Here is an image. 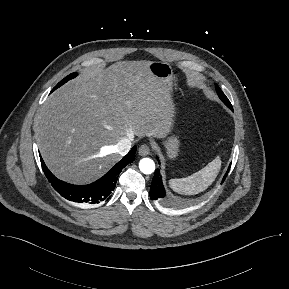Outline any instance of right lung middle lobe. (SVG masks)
<instances>
[{"instance_id":"dd1d6c3e","label":"right lung middle lobe","mask_w":289,"mask_h":289,"mask_svg":"<svg viewBox=\"0 0 289 289\" xmlns=\"http://www.w3.org/2000/svg\"><path fill=\"white\" fill-rule=\"evenodd\" d=\"M77 73H72L70 75H68L67 77H65L62 81H60L54 88L52 91H54L55 89H57L58 87L62 86L64 83H66L68 80L76 77Z\"/></svg>"}]
</instances>
